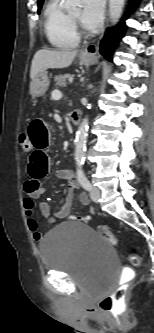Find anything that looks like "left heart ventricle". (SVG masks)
I'll return each instance as SVG.
<instances>
[{"mask_svg": "<svg viewBox=\"0 0 154 333\" xmlns=\"http://www.w3.org/2000/svg\"><path fill=\"white\" fill-rule=\"evenodd\" d=\"M70 15L76 19V20H79L81 18V10L80 9H77L73 12L70 13Z\"/></svg>", "mask_w": 154, "mask_h": 333, "instance_id": "1", "label": "left heart ventricle"}]
</instances>
